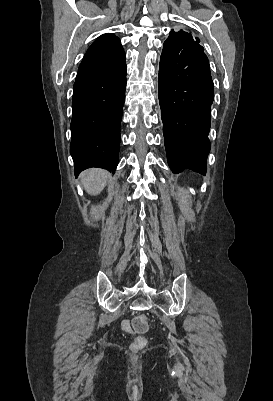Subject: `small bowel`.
Listing matches in <instances>:
<instances>
[{"label":"small bowel","instance_id":"1","mask_svg":"<svg viewBox=\"0 0 273 401\" xmlns=\"http://www.w3.org/2000/svg\"><path fill=\"white\" fill-rule=\"evenodd\" d=\"M130 319L129 318H123L121 320V323L123 324V328H124V332H125V336L126 337H133L134 333H133V328L131 327V323H130Z\"/></svg>","mask_w":273,"mask_h":401}]
</instances>
